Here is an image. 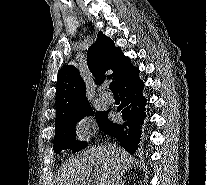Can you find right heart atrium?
I'll return each mask as SVG.
<instances>
[{"instance_id":"right-heart-atrium-1","label":"right heart atrium","mask_w":207,"mask_h":185,"mask_svg":"<svg viewBox=\"0 0 207 185\" xmlns=\"http://www.w3.org/2000/svg\"><path fill=\"white\" fill-rule=\"evenodd\" d=\"M92 125L90 120L83 116L78 118L73 126V135L78 142L84 143L92 136Z\"/></svg>"}]
</instances>
